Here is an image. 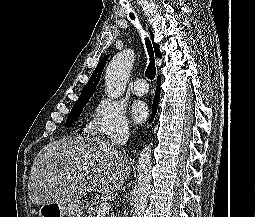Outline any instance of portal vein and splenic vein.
Wrapping results in <instances>:
<instances>
[{"mask_svg": "<svg viewBox=\"0 0 255 217\" xmlns=\"http://www.w3.org/2000/svg\"><path fill=\"white\" fill-rule=\"evenodd\" d=\"M110 203L107 201H104L100 204L99 209L97 211V216H101L103 214H106L110 210Z\"/></svg>", "mask_w": 255, "mask_h": 217, "instance_id": "1", "label": "portal vein and splenic vein"}]
</instances>
